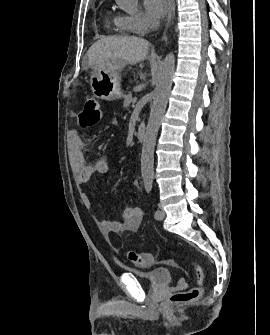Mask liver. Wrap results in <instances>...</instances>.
<instances>
[{"label":"liver","mask_w":270,"mask_h":335,"mask_svg":"<svg viewBox=\"0 0 270 335\" xmlns=\"http://www.w3.org/2000/svg\"><path fill=\"white\" fill-rule=\"evenodd\" d=\"M150 48L149 42L136 36H107L100 38L86 56L89 66H103L108 72H119L127 64L142 62Z\"/></svg>","instance_id":"obj_1"}]
</instances>
